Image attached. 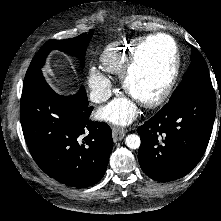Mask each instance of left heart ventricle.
<instances>
[{
  "instance_id": "b2bd125f",
  "label": "left heart ventricle",
  "mask_w": 221,
  "mask_h": 221,
  "mask_svg": "<svg viewBox=\"0 0 221 221\" xmlns=\"http://www.w3.org/2000/svg\"><path fill=\"white\" fill-rule=\"evenodd\" d=\"M171 56L172 45L167 38L156 37L144 46L129 84L134 97L148 98L165 82Z\"/></svg>"
}]
</instances>
